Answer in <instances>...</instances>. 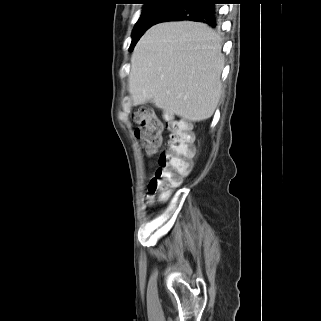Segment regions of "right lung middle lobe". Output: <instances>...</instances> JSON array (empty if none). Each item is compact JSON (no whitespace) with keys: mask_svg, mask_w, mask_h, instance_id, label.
<instances>
[{"mask_svg":"<svg viewBox=\"0 0 321 321\" xmlns=\"http://www.w3.org/2000/svg\"><path fill=\"white\" fill-rule=\"evenodd\" d=\"M175 4L176 2L173 0H155L144 5L141 15L132 32L130 51L134 48L146 30L157 24L160 17Z\"/></svg>","mask_w":321,"mask_h":321,"instance_id":"dd1d6c3e","label":"right lung middle lobe"}]
</instances>
